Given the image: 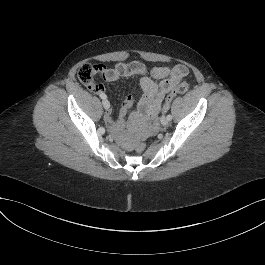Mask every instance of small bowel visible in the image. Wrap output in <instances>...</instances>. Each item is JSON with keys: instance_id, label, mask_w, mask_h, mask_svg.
I'll return each instance as SVG.
<instances>
[{"instance_id": "c3829d8e", "label": "small bowel", "mask_w": 265, "mask_h": 265, "mask_svg": "<svg viewBox=\"0 0 265 265\" xmlns=\"http://www.w3.org/2000/svg\"><path fill=\"white\" fill-rule=\"evenodd\" d=\"M99 66L101 75L107 82H114L122 77L140 76L142 96L139 101L138 110L132 115V121H141L144 124H148L157 117L162 110V103L166 95L188 74L186 66L181 64L173 67H154L151 69L150 75L147 74L145 65L137 61L130 63L117 62L114 67L111 68H107L104 65ZM89 89L99 95L106 93L105 87L101 84H94L89 87ZM133 103V96L125 98L117 121L113 119L109 111L106 112L104 120L107 126L112 130L119 129L123 125L124 118Z\"/></svg>"}]
</instances>
